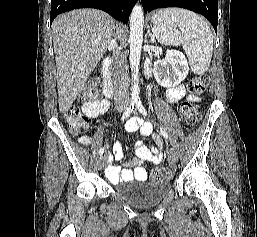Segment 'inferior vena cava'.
<instances>
[{"mask_svg": "<svg viewBox=\"0 0 257 237\" xmlns=\"http://www.w3.org/2000/svg\"><path fill=\"white\" fill-rule=\"evenodd\" d=\"M109 46L114 50V101L117 104H127L129 102L127 54L118 47L116 38L110 41Z\"/></svg>", "mask_w": 257, "mask_h": 237, "instance_id": "obj_1", "label": "inferior vena cava"}]
</instances>
